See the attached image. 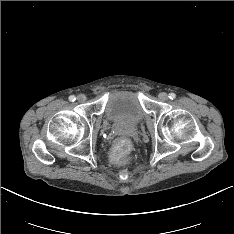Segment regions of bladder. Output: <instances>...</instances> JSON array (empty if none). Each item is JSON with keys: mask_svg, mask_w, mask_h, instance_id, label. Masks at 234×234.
<instances>
[{"mask_svg": "<svg viewBox=\"0 0 234 234\" xmlns=\"http://www.w3.org/2000/svg\"><path fill=\"white\" fill-rule=\"evenodd\" d=\"M104 116L119 127L130 128L139 125L145 113L135 92L118 91L108 96Z\"/></svg>", "mask_w": 234, "mask_h": 234, "instance_id": "bladder-1", "label": "bladder"}]
</instances>
